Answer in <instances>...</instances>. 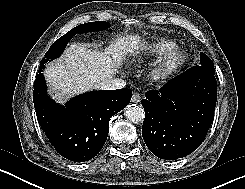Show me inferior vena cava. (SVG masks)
I'll use <instances>...</instances> for the list:
<instances>
[{"instance_id": "obj_1", "label": "inferior vena cava", "mask_w": 245, "mask_h": 189, "mask_svg": "<svg viewBox=\"0 0 245 189\" xmlns=\"http://www.w3.org/2000/svg\"><path fill=\"white\" fill-rule=\"evenodd\" d=\"M125 85H126L125 80H122L120 78H115V79H112L106 85H104L103 89H105V90L121 89V88H124Z\"/></svg>"}]
</instances>
